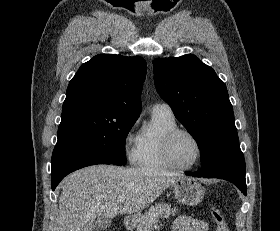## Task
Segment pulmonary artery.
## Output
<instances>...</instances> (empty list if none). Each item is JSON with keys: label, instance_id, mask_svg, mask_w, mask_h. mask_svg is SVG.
<instances>
[{"label": "pulmonary artery", "instance_id": "obj_1", "mask_svg": "<svg viewBox=\"0 0 280 231\" xmlns=\"http://www.w3.org/2000/svg\"><path fill=\"white\" fill-rule=\"evenodd\" d=\"M153 111L173 113L171 107L167 103H157L153 106Z\"/></svg>", "mask_w": 280, "mask_h": 231}]
</instances>
